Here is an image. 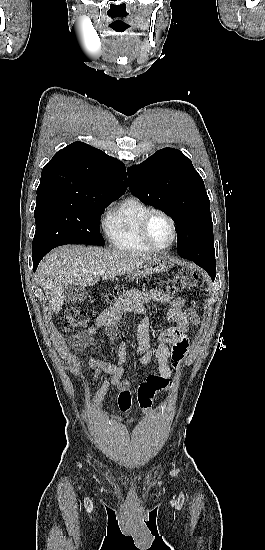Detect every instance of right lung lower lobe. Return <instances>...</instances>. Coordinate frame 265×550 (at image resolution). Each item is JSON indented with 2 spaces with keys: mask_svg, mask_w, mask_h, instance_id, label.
<instances>
[{
  "mask_svg": "<svg viewBox=\"0 0 265 550\" xmlns=\"http://www.w3.org/2000/svg\"><path fill=\"white\" fill-rule=\"evenodd\" d=\"M47 253H37V254H32V259H33V271H35L37 269V266L39 264V262L41 261V259L46 255Z\"/></svg>",
  "mask_w": 265,
  "mask_h": 550,
  "instance_id": "1",
  "label": "right lung lower lobe"
}]
</instances>
